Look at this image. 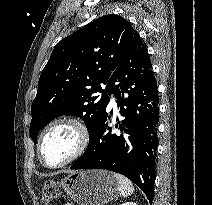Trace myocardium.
<instances>
[{
    "instance_id": "f54148a6",
    "label": "myocardium",
    "mask_w": 212,
    "mask_h": 205,
    "mask_svg": "<svg viewBox=\"0 0 212 205\" xmlns=\"http://www.w3.org/2000/svg\"><path fill=\"white\" fill-rule=\"evenodd\" d=\"M62 125L70 126L71 128L74 129L77 135V146L75 150L73 151V153L69 157H67L65 160L57 164H48L44 160L42 155V146H43L44 140L52 129ZM89 142H90V132H89L88 126L86 125L84 121L74 116L59 117L52 120L50 123H48L42 130L39 136L38 145H37L38 157L44 166L48 168H60V167L68 165L69 163L79 158L87 149Z\"/></svg>"
}]
</instances>
